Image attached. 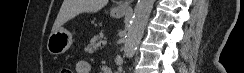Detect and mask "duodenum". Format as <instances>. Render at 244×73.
Segmentation results:
<instances>
[{
	"instance_id": "duodenum-1",
	"label": "duodenum",
	"mask_w": 244,
	"mask_h": 73,
	"mask_svg": "<svg viewBox=\"0 0 244 73\" xmlns=\"http://www.w3.org/2000/svg\"><path fill=\"white\" fill-rule=\"evenodd\" d=\"M104 73H110L108 69H104Z\"/></svg>"
}]
</instances>
